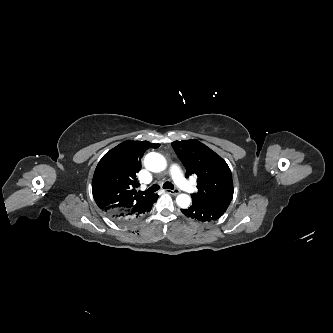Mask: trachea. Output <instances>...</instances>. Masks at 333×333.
Returning a JSON list of instances; mask_svg holds the SVG:
<instances>
[{
	"label": "trachea",
	"instance_id": "1",
	"mask_svg": "<svg viewBox=\"0 0 333 333\" xmlns=\"http://www.w3.org/2000/svg\"><path fill=\"white\" fill-rule=\"evenodd\" d=\"M163 188L165 189H174V186L171 182H165L163 184ZM160 189L159 185L153 184L148 190L142 192V194H150L158 191Z\"/></svg>",
	"mask_w": 333,
	"mask_h": 333
}]
</instances>
